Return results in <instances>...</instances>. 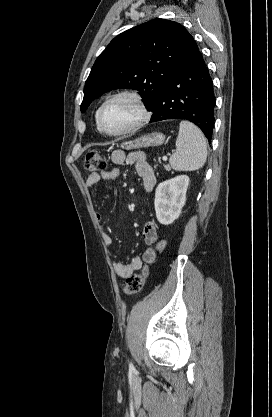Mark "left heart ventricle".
I'll return each instance as SVG.
<instances>
[{"label": "left heart ventricle", "instance_id": "1", "mask_svg": "<svg viewBox=\"0 0 272 417\" xmlns=\"http://www.w3.org/2000/svg\"><path fill=\"white\" fill-rule=\"evenodd\" d=\"M139 115V109L133 100L119 98L105 108L102 124L107 131L117 132L132 125Z\"/></svg>", "mask_w": 272, "mask_h": 417}]
</instances>
